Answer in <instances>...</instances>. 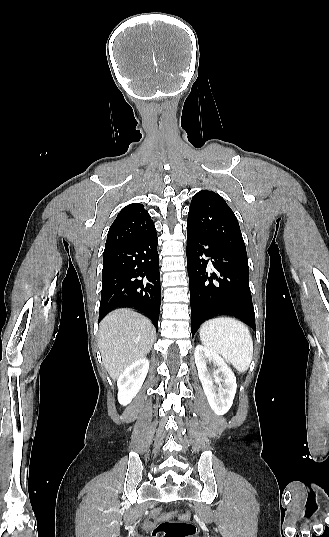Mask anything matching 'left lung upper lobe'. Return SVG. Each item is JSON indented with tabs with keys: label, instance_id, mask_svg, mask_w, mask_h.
Masks as SVG:
<instances>
[{
	"label": "left lung upper lobe",
	"instance_id": "obj_1",
	"mask_svg": "<svg viewBox=\"0 0 329 537\" xmlns=\"http://www.w3.org/2000/svg\"><path fill=\"white\" fill-rule=\"evenodd\" d=\"M187 225L211 243L247 258L237 218L215 192L202 190L193 196Z\"/></svg>",
	"mask_w": 329,
	"mask_h": 537
}]
</instances>
